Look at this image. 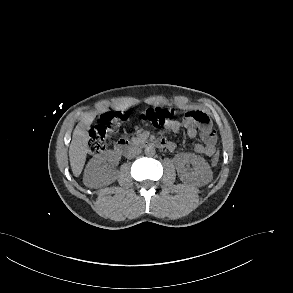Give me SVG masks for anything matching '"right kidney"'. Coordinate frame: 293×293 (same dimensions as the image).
Listing matches in <instances>:
<instances>
[{"label":"right kidney","mask_w":293,"mask_h":293,"mask_svg":"<svg viewBox=\"0 0 293 293\" xmlns=\"http://www.w3.org/2000/svg\"><path fill=\"white\" fill-rule=\"evenodd\" d=\"M107 161V154H97L88 162L83 177L85 186L98 188L116 180L117 172L105 167Z\"/></svg>","instance_id":"ca27d5eb"}]
</instances>
